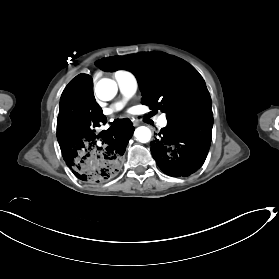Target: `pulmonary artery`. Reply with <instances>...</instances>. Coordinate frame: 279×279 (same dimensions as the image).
<instances>
[{"instance_id": "1", "label": "pulmonary artery", "mask_w": 279, "mask_h": 279, "mask_svg": "<svg viewBox=\"0 0 279 279\" xmlns=\"http://www.w3.org/2000/svg\"><path fill=\"white\" fill-rule=\"evenodd\" d=\"M113 79L118 85L122 99L113 105H111L108 110H115L120 108L125 101L132 97L137 89V81L133 75L128 74L124 71H116L113 74ZM157 126H161V122H157Z\"/></svg>"}]
</instances>
